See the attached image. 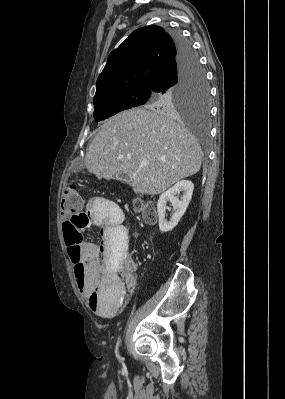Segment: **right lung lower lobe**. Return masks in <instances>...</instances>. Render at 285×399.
<instances>
[{"label": "right lung lower lobe", "mask_w": 285, "mask_h": 399, "mask_svg": "<svg viewBox=\"0 0 285 399\" xmlns=\"http://www.w3.org/2000/svg\"><path fill=\"white\" fill-rule=\"evenodd\" d=\"M172 38L176 45L177 56L160 72L151 88L153 92H164L175 86L185 71L198 60L191 44L180 33H173Z\"/></svg>", "instance_id": "98d812e1"}]
</instances>
